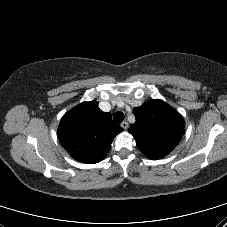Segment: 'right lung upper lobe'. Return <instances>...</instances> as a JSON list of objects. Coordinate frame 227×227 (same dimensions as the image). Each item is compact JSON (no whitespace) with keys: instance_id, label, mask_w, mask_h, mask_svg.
<instances>
[{"instance_id":"obj_1","label":"right lung upper lobe","mask_w":227,"mask_h":227,"mask_svg":"<svg viewBox=\"0 0 227 227\" xmlns=\"http://www.w3.org/2000/svg\"><path fill=\"white\" fill-rule=\"evenodd\" d=\"M122 131L111 114L101 111L93 100L79 104L62 117L58 138L75 160L94 164L103 160L113 138Z\"/></svg>"}]
</instances>
